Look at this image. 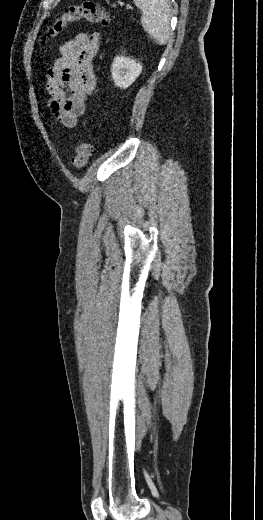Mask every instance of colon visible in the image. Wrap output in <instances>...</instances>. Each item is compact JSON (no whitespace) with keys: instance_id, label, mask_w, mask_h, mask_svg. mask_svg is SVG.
Wrapping results in <instances>:
<instances>
[{"instance_id":"1","label":"colon","mask_w":263,"mask_h":520,"mask_svg":"<svg viewBox=\"0 0 263 520\" xmlns=\"http://www.w3.org/2000/svg\"><path fill=\"white\" fill-rule=\"evenodd\" d=\"M81 20L103 26H109L112 23L111 15L103 6L92 1H86L78 6H70L59 13L47 31L46 40L56 37L70 24ZM92 152V145L88 142H82L77 146L76 152L71 158V165L76 169L84 168Z\"/></svg>"}]
</instances>
